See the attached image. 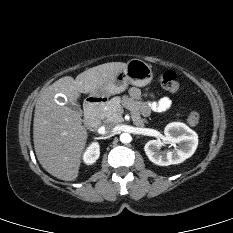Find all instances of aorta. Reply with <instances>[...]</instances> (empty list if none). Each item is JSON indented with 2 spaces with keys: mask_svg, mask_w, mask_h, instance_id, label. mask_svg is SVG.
Listing matches in <instances>:
<instances>
[{
  "mask_svg": "<svg viewBox=\"0 0 233 233\" xmlns=\"http://www.w3.org/2000/svg\"><path fill=\"white\" fill-rule=\"evenodd\" d=\"M120 141L122 143H129L131 141V135L129 133H122L120 135Z\"/></svg>",
  "mask_w": 233,
  "mask_h": 233,
  "instance_id": "762f6f07",
  "label": "aorta"
}]
</instances>
